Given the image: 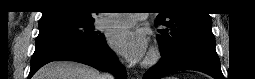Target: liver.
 Masks as SVG:
<instances>
[{
  "instance_id": "1",
  "label": "liver",
  "mask_w": 255,
  "mask_h": 79,
  "mask_svg": "<svg viewBox=\"0 0 255 79\" xmlns=\"http://www.w3.org/2000/svg\"><path fill=\"white\" fill-rule=\"evenodd\" d=\"M94 68L73 61H54L43 66L34 79H101Z\"/></svg>"
}]
</instances>
